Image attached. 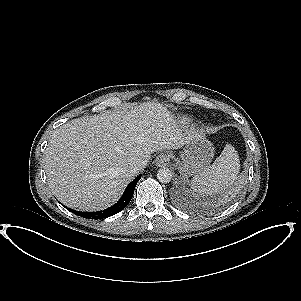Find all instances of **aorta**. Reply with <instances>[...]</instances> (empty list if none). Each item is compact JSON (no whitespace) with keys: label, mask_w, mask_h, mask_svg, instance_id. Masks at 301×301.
<instances>
[{"label":"aorta","mask_w":301,"mask_h":301,"mask_svg":"<svg viewBox=\"0 0 301 301\" xmlns=\"http://www.w3.org/2000/svg\"><path fill=\"white\" fill-rule=\"evenodd\" d=\"M157 179L161 183H169L172 179V172L168 168L159 169Z\"/></svg>","instance_id":"1"}]
</instances>
